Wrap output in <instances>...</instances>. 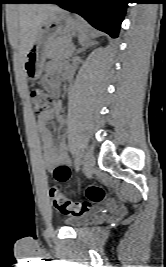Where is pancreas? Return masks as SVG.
<instances>
[{"mask_svg":"<svg viewBox=\"0 0 166 267\" xmlns=\"http://www.w3.org/2000/svg\"><path fill=\"white\" fill-rule=\"evenodd\" d=\"M73 53L72 45L70 44V37L63 36L55 39L48 51L49 58H67Z\"/></svg>","mask_w":166,"mask_h":267,"instance_id":"obj_1","label":"pancreas"}]
</instances>
